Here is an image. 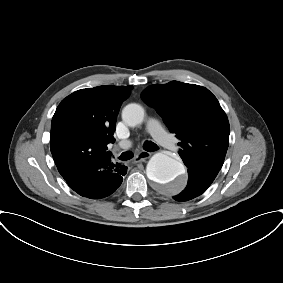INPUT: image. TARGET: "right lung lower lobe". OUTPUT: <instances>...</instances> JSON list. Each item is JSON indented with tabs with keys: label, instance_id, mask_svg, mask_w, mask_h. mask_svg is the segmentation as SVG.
Wrapping results in <instances>:
<instances>
[{
	"label": "right lung lower lobe",
	"instance_id": "98d812e1",
	"mask_svg": "<svg viewBox=\"0 0 283 283\" xmlns=\"http://www.w3.org/2000/svg\"><path fill=\"white\" fill-rule=\"evenodd\" d=\"M126 170L125 165L114 164L110 157H107L75 170L65 180L79 195L100 199L116 191L122 183Z\"/></svg>",
	"mask_w": 283,
	"mask_h": 283
}]
</instances>
